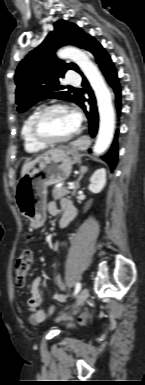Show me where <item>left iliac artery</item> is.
<instances>
[{
    "label": "left iliac artery",
    "instance_id": "left-iliac-artery-1",
    "mask_svg": "<svg viewBox=\"0 0 145 385\" xmlns=\"http://www.w3.org/2000/svg\"><path fill=\"white\" fill-rule=\"evenodd\" d=\"M80 290H81V283L78 282L75 286L74 295L78 294Z\"/></svg>",
    "mask_w": 145,
    "mask_h": 385
}]
</instances>
